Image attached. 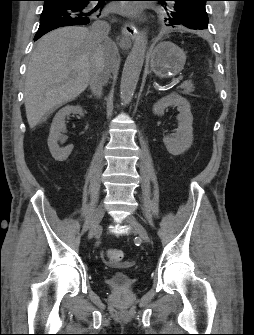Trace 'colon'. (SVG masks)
Returning <instances> with one entry per match:
<instances>
[{"label":"colon","instance_id":"5ec220e1","mask_svg":"<svg viewBox=\"0 0 254 335\" xmlns=\"http://www.w3.org/2000/svg\"><path fill=\"white\" fill-rule=\"evenodd\" d=\"M106 259L109 263L118 264L123 259V253L121 250L116 248L108 249L106 252Z\"/></svg>","mask_w":254,"mask_h":335}]
</instances>
